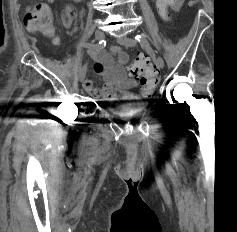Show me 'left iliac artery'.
Here are the masks:
<instances>
[{
    "instance_id": "left-iliac-artery-1",
    "label": "left iliac artery",
    "mask_w": 237,
    "mask_h": 232,
    "mask_svg": "<svg viewBox=\"0 0 237 232\" xmlns=\"http://www.w3.org/2000/svg\"><path fill=\"white\" fill-rule=\"evenodd\" d=\"M135 39H136L137 41L141 42V41H143L144 36H143V35H137V36L135 37Z\"/></svg>"
}]
</instances>
